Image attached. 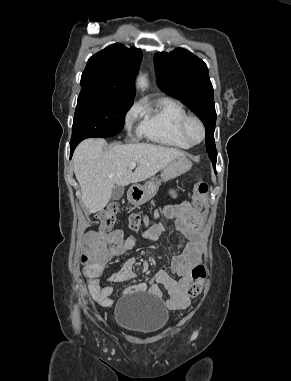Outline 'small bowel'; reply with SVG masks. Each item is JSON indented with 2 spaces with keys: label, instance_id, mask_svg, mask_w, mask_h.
<instances>
[{
  "label": "small bowel",
  "instance_id": "1",
  "mask_svg": "<svg viewBox=\"0 0 291 381\" xmlns=\"http://www.w3.org/2000/svg\"><path fill=\"white\" fill-rule=\"evenodd\" d=\"M164 216L174 220L176 229L185 237L186 244L182 252L175 256L171 263V270L178 276V280L172 278L166 267L160 269L149 282H141L126 289L128 293L149 291L157 298H162V286L169 294L166 306L170 310L186 308L191 303L187 297V289L192 282V269L202 260L201 236L196 228L199 219V208L192 207L188 202L177 205L161 206L155 213L156 217ZM167 226L163 221H157L143 235L142 238L150 241H158ZM139 238L136 236L124 237L123 230L116 229L109 233L89 231L84 236V249L95 248L98 244L106 249L105 257H121L131 251L137 245ZM108 248V249H107ZM134 258H128L121 268L108 277V281L117 284L134 280ZM88 287L92 298L102 306H110L113 303V286H102L101 279L92 277L88 279Z\"/></svg>",
  "mask_w": 291,
  "mask_h": 381
}]
</instances>
